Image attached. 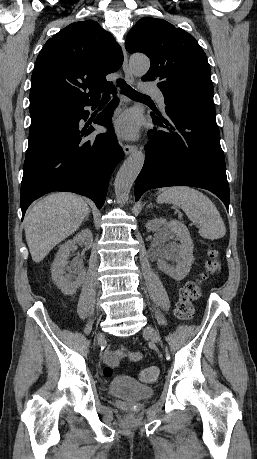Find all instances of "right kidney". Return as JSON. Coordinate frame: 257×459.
<instances>
[{"instance_id": "ca27d5eb", "label": "right kidney", "mask_w": 257, "mask_h": 459, "mask_svg": "<svg viewBox=\"0 0 257 459\" xmlns=\"http://www.w3.org/2000/svg\"><path fill=\"white\" fill-rule=\"evenodd\" d=\"M77 242H82L85 248H90L93 242L92 232L89 229L82 230L73 240L65 242L51 265L52 280L65 295H73L82 285L85 276L82 267L74 264L68 266L67 259Z\"/></svg>"}]
</instances>
